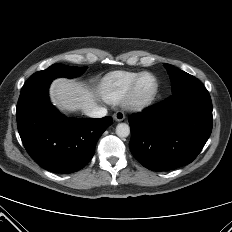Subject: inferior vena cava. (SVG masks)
<instances>
[{"label": "inferior vena cava", "instance_id": "602c4592", "mask_svg": "<svg viewBox=\"0 0 232 232\" xmlns=\"http://www.w3.org/2000/svg\"><path fill=\"white\" fill-rule=\"evenodd\" d=\"M84 113L91 118H101L107 115V109L100 106H94L85 110Z\"/></svg>", "mask_w": 232, "mask_h": 232}]
</instances>
